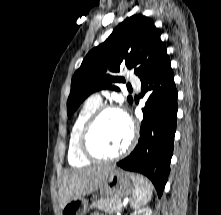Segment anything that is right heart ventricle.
<instances>
[{
  "label": "right heart ventricle",
  "instance_id": "e07e8e85",
  "mask_svg": "<svg viewBox=\"0 0 221 215\" xmlns=\"http://www.w3.org/2000/svg\"><path fill=\"white\" fill-rule=\"evenodd\" d=\"M100 105V100L93 97L88 98L74 119L69 135L67 152V159L71 166L82 167L90 163V160L87 159L79 149V136L87 119Z\"/></svg>",
  "mask_w": 221,
  "mask_h": 215
}]
</instances>
